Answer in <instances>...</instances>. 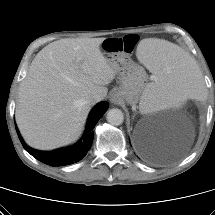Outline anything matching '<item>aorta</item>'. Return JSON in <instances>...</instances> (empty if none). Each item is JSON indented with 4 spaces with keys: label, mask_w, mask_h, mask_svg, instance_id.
<instances>
[{
    "label": "aorta",
    "mask_w": 215,
    "mask_h": 215,
    "mask_svg": "<svg viewBox=\"0 0 215 215\" xmlns=\"http://www.w3.org/2000/svg\"><path fill=\"white\" fill-rule=\"evenodd\" d=\"M107 121L113 126H119L124 121V115L120 109L113 108L107 112Z\"/></svg>",
    "instance_id": "762f6f07"
}]
</instances>
